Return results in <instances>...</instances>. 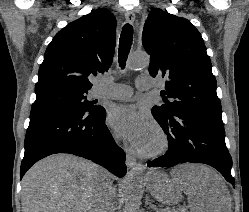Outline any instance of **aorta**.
I'll return each instance as SVG.
<instances>
[{
	"label": "aorta",
	"instance_id": "obj_1",
	"mask_svg": "<svg viewBox=\"0 0 249 212\" xmlns=\"http://www.w3.org/2000/svg\"><path fill=\"white\" fill-rule=\"evenodd\" d=\"M150 57L145 52L133 53L127 63L130 70H136L149 65ZM143 192V167L136 166L131 169L125 192V212H139Z\"/></svg>",
	"mask_w": 249,
	"mask_h": 212
}]
</instances>
